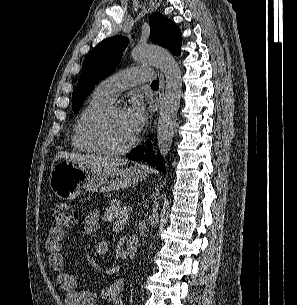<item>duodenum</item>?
<instances>
[{"mask_svg":"<svg viewBox=\"0 0 297 305\" xmlns=\"http://www.w3.org/2000/svg\"><path fill=\"white\" fill-rule=\"evenodd\" d=\"M136 248H137L136 241L134 239H128L126 242V249L131 257L135 255Z\"/></svg>","mask_w":297,"mask_h":305,"instance_id":"1","label":"duodenum"}]
</instances>
